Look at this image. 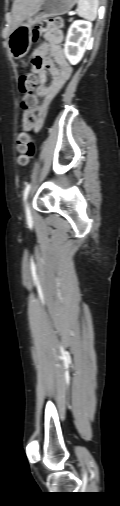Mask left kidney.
I'll list each match as a JSON object with an SVG mask.
<instances>
[{"label": "left kidney", "mask_w": 120, "mask_h": 506, "mask_svg": "<svg viewBox=\"0 0 120 506\" xmlns=\"http://www.w3.org/2000/svg\"><path fill=\"white\" fill-rule=\"evenodd\" d=\"M91 31V23L83 20H77L70 26L64 45V53L72 65L82 59L91 40Z\"/></svg>", "instance_id": "5707ae66"}]
</instances>
